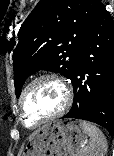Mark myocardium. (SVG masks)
Returning <instances> with one entry per match:
<instances>
[{
  "label": "myocardium",
  "mask_w": 114,
  "mask_h": 156,
  "mask_svg": "<svg viewBox=\"0 0 114 156\" xmlns=\"http://www.w3.org/2000/svg\"><path fill=\"white\" fill-rule=\"evenodd\" d=\"M43 80H51L55 82L61 88L62 95H63V102H62L61 107L55 113L39 120L34 125L29 126L26 124L25 118H24V112H23V106H22L23 99L25 95L27 94V92L31 89V87H33L36 83L43 81ZM72 100H73V93H72L71 86L68 84V82L64 78H62L61 76L55 73L40 74L36 76L35 78H33L31 81H29L19 95L18 108L20 112L21 121L23 125L27 128H30V129L36 128L46 122H49V121H52L54 119L61 117L70 108L72 104Z\"/></svg>",
  "instance_id": "f54148a6"
}]
</instances>
